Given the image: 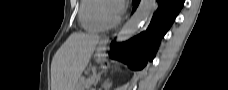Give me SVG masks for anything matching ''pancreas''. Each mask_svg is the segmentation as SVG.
Here are the masks:
<instances>
[{
    "mask_svg": "<svg viewBox=\"0 0 228 90\" xmlns=\"http://www.w3.org/2000/svg\"><path fill=\"white\" fill-rule=\"evenodd\" d=\"M91 79L81 78L79 82L76 84V90H88L89 88L88 81Z\"/></svg>",
    "mask_w": 228,
    "mask_h": 90,
    "instance_id": "1",
    "label": "pancreas"
}]
</instances>
